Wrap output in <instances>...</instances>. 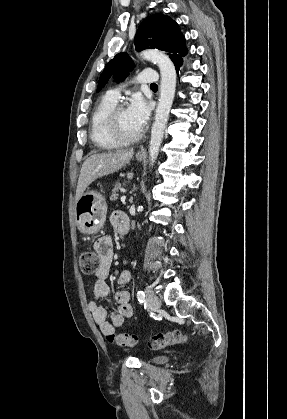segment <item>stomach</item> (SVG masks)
Here are the masks:
<instances>
[{
  "label": "stomach",
  "mask_w": 287,
  "mask_h": 419,
  "mask_svg": "<svg viewBox=\"0 0 287 419\" xmlns=\"http://www.w3.org/2000/svg\"><path fill=\"white\" fill-rule=\"evenodd\" d=\"M138 161L143 157L137 156ZM107 214L105 198L94 190H87L75 204V221L80 231L87 235L98 233L104 226Z\"/></svg>",
  "instance_id": "0dacf381"
}]
</instances>
